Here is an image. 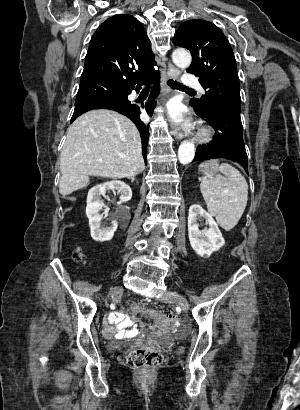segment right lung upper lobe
<instances>
[{
	"mask_svg": "<svg viewBox=\"0 0 300 410\" xmlns=\"http://www.w3.org/2000/svg\"><path fill=\"white\" fill-rule=\"evenodd\" d=\"M151 41L131 15H115L94 33L80 82H102L129 91L159 76Z\"/></svg>",
	"mask_w": 300,
	"mask_h": 410,
	"instance_id": "obj_1",
	"label": "right lung upper lobe"
}]
</instances>
